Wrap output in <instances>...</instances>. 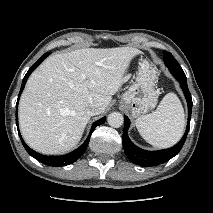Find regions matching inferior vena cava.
Wrapping results in <instances>:
<instances>
[{"label": "inferior vena cava", "mask_w": 213, "mask_h": 213, "mask_svg": "<svg viewBox=\"0 0 213 213\" xmlns=\"http://www.w3.org/2000/svg\"><path fill=\"white\" fill-rule=\"evenodd\" d=\"M86 112L89 116H94L100 114L102 110L97 104L92 103L87 106Z\"/></svg>", "instance_id": "602c4592"}]
</instances>
